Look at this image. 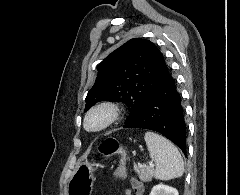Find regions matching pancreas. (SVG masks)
<instances>
[{
	"label": "pancreas",
	"instance_id": "1",
	"mask_svg": "<svg viewBox=\"0 0 240 195\" xmlns=\"http://www.w3.org/2000/svg\"><path fill=\"white\" fill-rule=\"evenodd\" d=\"M135 171L141 181H151L152 177H156L154 167L144 165V167H135Z\"/></svg>",
	"mask_w": 240,
	"mask_h": 195
}]
</instances>
